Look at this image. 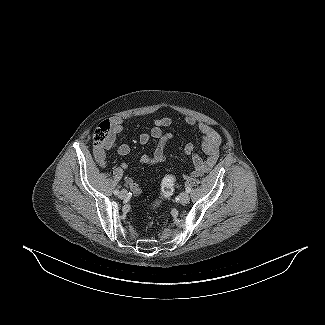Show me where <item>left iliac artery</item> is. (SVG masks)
<instances>
[{"label":"left iliac artery","instance_id":"44dca946","mask_svg":"<svg viewBox=\"0 0 325 325\" xmlns=\"http://www.w3.org/2000/svg\"><path fill=\"white\" fill-rule=\"evenodd\" d=\"M191 189L189 187L186 188V192L190 193Z\"/></svg>","mask_w":325,"mask_h":325}]
</instances>
